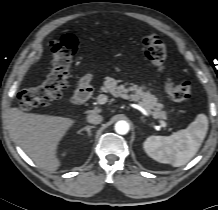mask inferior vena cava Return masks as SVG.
Here are the masks:
<instances>
[{
  "instance_id": "obj_1",
  "label": "inferior vena cava",
  "mask_w": 218,
  "mask_h": 210,
  "mask_svg": "<svg viewBox=\"0 0 218 210\" xmlns=\"http://www.w3.org/2000/svg\"><path fill=\"white\" fill-rule=\"evenodd\" d=\"M102 120H103V117L95 111H91L87 115V121L91 124H100Z\"/></svg>"
}]
</instances>
